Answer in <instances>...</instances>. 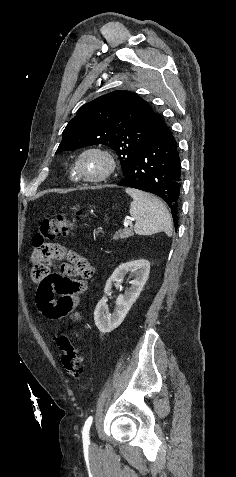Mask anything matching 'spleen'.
<instances>
[{
  "mask_svg": "<svg viewBox=\"0 0 236 477\" xmlns=\"http://www.w3.org/2000/svg\"><path fill=\"white\" fill-rule=\"evenodd\" d=\"M125 191L133 198L129 212L136 220V234L152 235L163 231L168 236L172 235L171 216L158 198L133 188H126Z\"/></svg>",
  "mask_w": 236,
  "mask_h": 477,
  "instance_id": "spleen-1",
  "label": "spleen"
}]
</instances>
